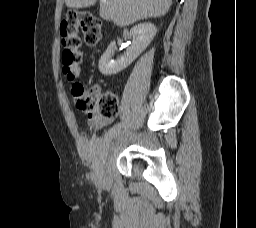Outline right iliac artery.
<instances>
[{
    "label": "right iliac artery",
    "instance_id": "82829eb1",
    "mask_svg": "<svg viewBox=\"0 0 256 228\" xmlns=\"http://www.w3.org/2000/svg\"><path fill=\"white\" fill-rule=\"evenodd\" d=\"M124 125V123H117L113 126V128L111 129V134H114V132L116 130H119L122 126Z\"/></svg>",
    "mask_w": 256,
    "mask_h": 228
}]
</instances>
